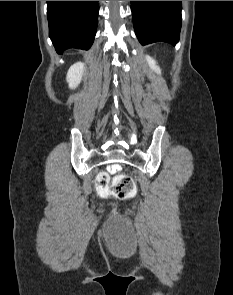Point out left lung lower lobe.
<instances>
[{
  "mask_svg": "<svg viewBox=\"0 0 233 295\" xmlns=\"http://www.w3.org/2000/svg\"><path fill=\"white\" fill-rule=\"evenodd\" d=\"M181 1H131L136 36L142 45H175L181 30Z\"/></svg>",
  "mask_w": 233,
  "mask_h": 295,
  "instance_id": "1",
  "label": "left lung lower lobe"
}]
</instances>
